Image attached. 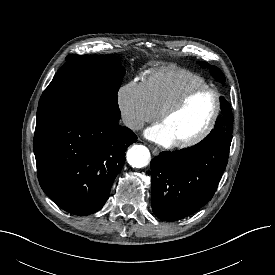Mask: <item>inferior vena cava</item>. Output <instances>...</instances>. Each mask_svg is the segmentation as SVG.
<instances>
[{
    "label": "inferior vena cava",
    "mask_w": 275,
    "mask_h": 275,
    "mask_svg": "<svg viewBox=\"0 0 275 275\" xmlns=\"http://www.w3.org/2000/svg\"><path fill=\"white\" fill-rule=\"evenodd\" d=\"M122 120L124 125L131 129L138 130L143 127V122L133 116L125 115Z\"/></svg>",
    "instance_id": "602c4592"
}]
</instances>
